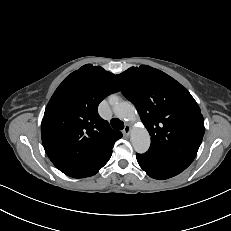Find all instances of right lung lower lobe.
<instances>
[{
  "label": "right lung lower lobe",
  "instance_id": "1",
  "mask_svg": "<svg viewBox=\"0 0 231 231\" xmlns=\"http://www.w3.org/2000/svg\"><path fill=\"white\" fill-rule=\"evenodd\" d=\"M112 151H110L107 155H105L102 159H100L97 163L92 165L91 167L77 173L76 175L72 176L74 178H84L95 175L100 168H102L110 159Z\"/></svg>",
  "mask_w": 231,
  "mask_h": 231
}]
</instances>
